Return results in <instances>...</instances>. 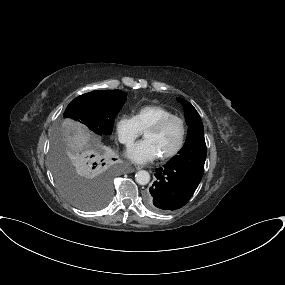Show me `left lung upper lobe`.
Instances as JSON below:
<instances>
[{
	"label": "left lung upper lobe",
	"instance_id": "1",
	"mask_svg": "<svg viewBox=\"0 0 285 285\" xmlns=\"http://www.w3.org/2000/svg\"><path fill=\"white\" fill-rule=\"evenodd\" d=\"M178 101L183 105L185 110L188 135L179 154L174 156L167 164L203 176L207 154L203 123L198 112L189 102L182 98H178Z\"/></svg>",
	"mask_w": 285,
	"mask_h": 285
}]
</instances>
